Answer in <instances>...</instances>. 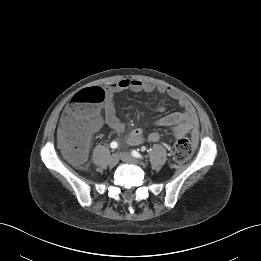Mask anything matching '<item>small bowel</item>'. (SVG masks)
<instances>
[{
	"instance_id": "obj_1",
	"label": "small bowel",
	"mask_w": 261,
	"mask_h": 261,
	"mask_svg": "<svg viewBox=\"0 0 261 261\" xmlns=\"http://www.w3.org/2000/svg\"><path fill=\"white\" fill-rule=\"evenodd\" d=\"M131 90L133 92H144L148 95L157 91L162 95H167L176 100L183 108L181 112H174L163 116L156 121L157 125L169 127L174 136L179 138L190 134L194 141L199 137V123L190 102L179 91L167 88L164 86L156 87L154 84L137 79H121L111 83L106 88V97L102 106V113L96 111L88 120V135H91L101 129L103 126H108L117 133H123L124 124L119 118L115 105L114 96L116 93ZM158 110L163 111L165 105L160 103ZM159 132H151L148 135V140L156 142L160 139ZM144 135L140 128L133 129L127 135V141L131 145H139L143 142Z\"/></svg>"
}]
</instances>
